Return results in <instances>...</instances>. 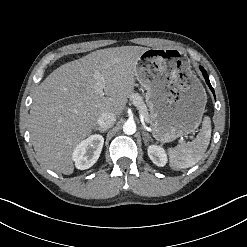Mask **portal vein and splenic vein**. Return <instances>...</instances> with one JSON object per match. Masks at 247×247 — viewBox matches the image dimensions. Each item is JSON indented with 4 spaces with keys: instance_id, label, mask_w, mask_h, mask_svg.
Instances as JSON below:
<instances>
[{
    "instance_id": "portal-vein-and-splenic-vein-1",
    "label": "portal vein and splenic vein",
    "mask_w": 247,
    "mask_h": 247,
    "mask_svg": "<svg viewBox=\"0 0 247 247\" xmlns=\"http://www.w3.org/2000/svg\"><path fill=\"white\" fill-rule=\"evenodd\" d=\"M94 78L96 79L97 83H96V86H95V89L96 91L99 93V94H103V84L101 82V74L99 72H97L95 75H94Z\"/></svg>"
}]
</instances>
